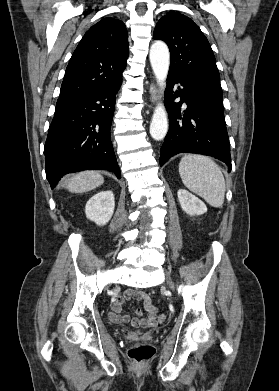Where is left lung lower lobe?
I'll use <instances>...</instances> for the list:
<instances>
[{"label": "left lung lower lobe", "instance_id": "obj_1", "mask_svg": "<svg viewBox=\"0 0 279 391\" xmlns=\"http://www.w3.org/2000/svg\"><path fill=\"white\" fill-rule=\"evenodd\" d=\"M165 106L170 126L161 147L160 165L178 153H199L213 156L231 170L230 146L224 119L223 101L168 75ZM180 87L173 93V86ZM181 97V101L174 102ZM187 108L181 111L182 103Z\"/></svg>", "mask_w": 279, "mask_h": 391}]
</instances>
